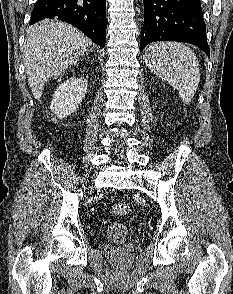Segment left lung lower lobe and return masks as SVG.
I'll list each match as a JSON object with an SVG mask.
<instances>
[{
    "instance_id": "obj_1",
    "label": "left lung lower lobe",
    "mask_w": 233,
    "mask_h": 294,
    "mask_svg": "<svg viewBox=\"0 0 233 294\" xmlns=\"http://www.w3.org/2000/svg\"><path fill=\"white\" fill-rule=\"evenodd\" d=\"M140 50L155 41L191 43L210 55L200 0H144Z\"/></svg>"
}]
</instances>
